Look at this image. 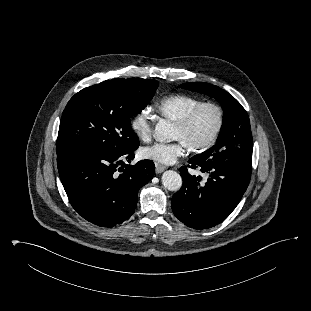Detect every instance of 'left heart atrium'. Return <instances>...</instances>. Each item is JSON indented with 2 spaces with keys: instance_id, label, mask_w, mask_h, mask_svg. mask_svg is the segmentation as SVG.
<instances>
[{
  "instance_id": "obj_1",
  "label": "left heart atrium",
  "mask_w": 311,
  "mask_h": 311,
  "mask_svg": "<svg viewBox=\"0 0 311 311\" xmlns=\"http://www.w3.org/2000/svg\"><path fill=\"white\" fill-rule=\"evenodd\" d=\"M188 146L181 140L175 143H154L141 149V155L145 159L160 164H173L178 158L185 155Z\"/></svg>"
}]
</instances>
